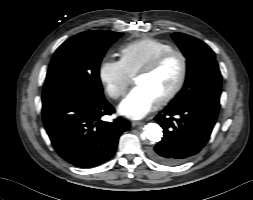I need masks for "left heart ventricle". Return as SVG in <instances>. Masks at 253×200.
<instances>
[{
  "instance_id": "left-heart-ventricle-1",
  "label": "left heart ventricle",
  "mask_w": 253,
  "mask_h": 200,
  "mask_svg": "<svg viewBox=\"0 0 253 200\" xmlns=\"http://www.w3.org/2000/svg\"><path fill=\"white\" fill-rule=\"evenodd\" d=\"M180 73L181 61L178 57H172L154 73L136 77L135 84L147 89L158 101L175 86Z\"/></svg>"
}]
</instances>
